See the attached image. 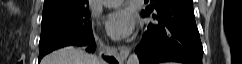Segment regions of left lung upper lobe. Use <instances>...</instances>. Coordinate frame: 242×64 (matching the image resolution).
<instances>
[{"instance_id": "1", "label": "left lung upper lobe", "mask_w": 242, "mask_h": 64, "mask_svg": "<svg viewBox=\"0 0 242 64\" xmlns=\"http://www.w3.org/2000/svg\"><path fill=\"white\" fill-rule=\"evenodd\" d=\"M148 2V0H145V2ZM152 3L146 7V11H150L152 10L159 2L163 1V0H150Z\"/></svg>"}]
</instances>
